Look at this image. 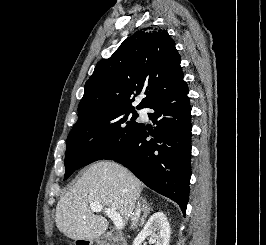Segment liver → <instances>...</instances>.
I'll use <instances>...</instances> for the list:
<instances>
[{
	"mask_svg": "<svg viewBox=\"0 0 266 245\" xmlns=\"http://www.w3.org/2000/svg\"><path fill=\"white\" fill-rule=\"evenodd\" d=\"M141 187V181L122 165L113 161L94 163L58 201L56 227L74 241L98 239L109 223L105 217L94 215L91 203L115 209L124 221H128L131 203L140 195Z\"/></svg>",
	"mask_w": 266,
	"mask_h": 245,
	"instance_id": "1",
	"label": "liver"
}]
</instances>
